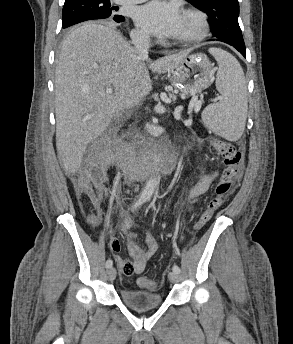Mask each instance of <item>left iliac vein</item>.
<instances>
[{
    "instance_id": "obj_1",
    "label": "left iliac vein",
    "mask_w": 293,
    "mask_h": 344,
    "mask_svg": "<svg viewBox=\"0 0 293 344\" xmlns=\"http://www.w3.org/2000/svg\"><path fill=\"white\" fill-rule=\"evenodd\" d=\"M168 279L170 280V282L172 283H177L179 282V274L174 272V271H171L169 272L168 274Z\"/></svg>"
}]
</instances>
